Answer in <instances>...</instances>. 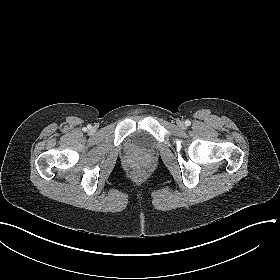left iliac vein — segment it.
<instances>
[{"mask_svg":"<svg viewBox=\"0 0 280 280\" xmlns=\"http://www.w3.org/2000/svg\"><path fill=\"white\" fill-rule=\"evenodd\" d=\"M178 125L180 126V127H183V122H178Z\"/></svg>","mask_w":280,"mask_h":280,"instance_id":"left-iliac-vein-1","label":"left iliac vein"}]
</instances>
